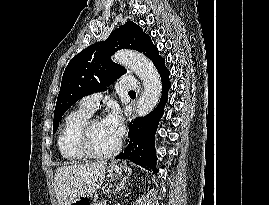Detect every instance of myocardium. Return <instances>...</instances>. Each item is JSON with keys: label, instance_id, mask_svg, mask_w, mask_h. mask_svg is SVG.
<instances>
[{"label": "myocardium", "instance_id": "f54148a6", "mask_svg": "<svg viewBox=\"0 0 269 205\" xmlns=\"http://www.w3.org/2000/svg\"><path fill=\"white\" fill-rule=\"evenodd\" d=\"M101 120V117H90L81 127L79 136H78V142L81 150L84 152V154L89 158L94 159H105L115 156L122 147V142L119 139L116 146L107 151V152H99L97 151L93 144L91 139V131L93 126Z\"/></svg>", "mask_w": 269, "mask_h": 205}]
</instances>
